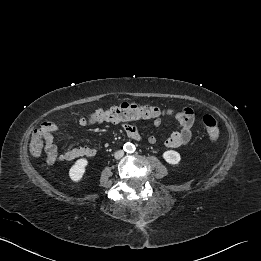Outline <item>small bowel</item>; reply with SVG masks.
<instances>
[{
    "label": "small bowel",
    "instance_id": "small-bowel-1",
    "mask_svg": "<svg viewBox=\"0 0 261 261\" xmlns=\"http://www.w3.org/2000/svg\"><path fill=\"white\" fill-rule=\"evenodd\" d=\"M175 120L178 123L177 128L167 137L165 140V145L168 148H178L188 144L192 137V127L195 121V115L191 108L186 107L181 111L175 113ZM98 120L88 117L81 118L79 120L80 126H91L97 123ZM113 124H122L123 130L126 134L131 137L133 133H138L135 126L125 123V121L111 122ZM161 123L160 118H155L153 120V125L158 127ZM43 127L47 129L46 141H45V152L46 159L49 164H54L57 162L71 161L80 157H93L97 153V149L93 147L70 145L62 153L58 152V148L53 141V133L59 131V127L53 123H45ZM139 134V133H138ZM149 142L154 144L157 139L154 136L149 137Z\"/></svg>",
    "mask_w": 261,
    "mask_h": 261
}]
</instances>
